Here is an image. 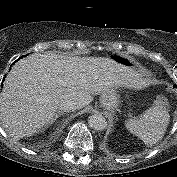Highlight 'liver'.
<instances>
[{
    "label": "liver",
    "instance_id": "6515ba94",
    "mask_svg": "<svg viewBox=\"0 0 177 177\" xmlns=\"http://www.w3.org/2000/svg\"><path fill=\"white\" fill-rule=\"evenodd\" d=\"M141 82L138 72L110 58L33 53L16 62L4 81L2 125L15 140L32 136L55 121L64 101L81 109L93 101L92 95Z\"/></svg>",
    "mask_w": 177,
    "mask_h": 177
}]
</instances>
